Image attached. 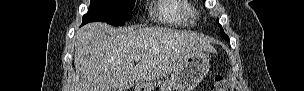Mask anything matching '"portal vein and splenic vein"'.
<instances>
[{"label":"portal vein and splenic vein","mask_w":304,"mask_h":91,"mask_svg":"<svg viewBox=\"0 0 304 91\" xmlns=\"http://www.w3.org/2000/svg\"><path fill=\"white\" fill-rule=\"evenodd\" d=\"M134 60H135L136 62H138V61L140 60V57H139V56H135V57H134Z\"/></svg>","instance_id":"1"}]
</instances>
